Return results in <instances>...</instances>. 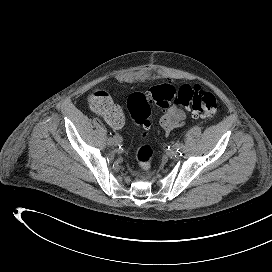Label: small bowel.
<instances>
[{"instance_id": "1", "label": "small bowel", "mask_w": 272, "mask_h": 272, "mask_svg": "<svg viewBox=\"0 0 272 272\" xmlns=\"http://www.w3.org/2000/svg\"><path fill=\"white\" fill-rule=\"evenodd\" d=\"M95 110V109H94ZM102 115L107 123L114 129H120L124 125V116L121 110L109 97V104L105 111L95 110ZM186 120V112L174 104L168 107L159 119V125L166 135L170 134L175 128L181 126Z\"/></svg>"}]
</instances>
